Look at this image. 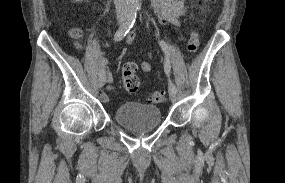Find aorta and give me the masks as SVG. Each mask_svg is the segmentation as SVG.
I'll use <instances>...</instances> for the list:
<instances>
[{"mask_svg":"<svg viewBox=\"0 0 285 183\" xmlns=\"http://www.w3.org/2000/svg\"><path fill=\"white\" fill-rule=\"evenodd\" d=\"M129 9L138 10L141 7L140 0H127Z\"/></svg>","mask_w":285,"mask_h":183,"instance_id":"aorta-1","label":"aorta"}]
</instances>
